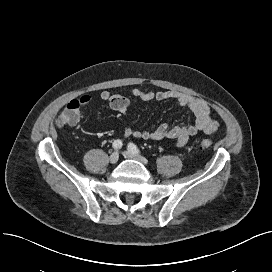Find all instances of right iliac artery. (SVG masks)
Masks as SVG:
<instances>
[{
  "mask_svg": "<svg viewBox=\"0 0 272 272\" xmlns=\"http://www.w3.org/2000/svg\"><path fill=\"white\" fill-rule=\"evenodd\" d=\"M122 145H123V144H122V141H121V140H115V141L113 142V145H112V146H113L114 149L117 150V149H120V148L122 147Z\"/></svg>",
  "mask_w": 272,
  "mask_h": 272,
  "instance_id": "82829eb1",
  "label": "right iliac artery"
}]
</instances>
